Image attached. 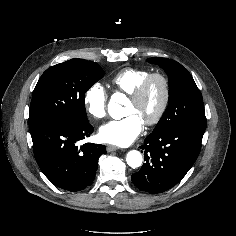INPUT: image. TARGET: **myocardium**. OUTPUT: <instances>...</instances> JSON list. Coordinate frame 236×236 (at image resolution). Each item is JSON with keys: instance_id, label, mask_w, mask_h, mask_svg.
I'll return each instance as SVG.
<instances>
[{"instance_id": "myocardium-1", "label": "myocardium", "mask_w": 236, "mask_h": 236, "mask_svg": "<svg viewBox=\"0 0 236 236\" xmlns=\"http://www.w3.org/2000/svg\"><path fill=\"white\" fill-rule=\"evenodd\" d=\"M158 80L162 85V101L160 104V107L156 114L147 120H144V123L148 126L156 125L160 122V120L163 118L169 102H170V95H171V88H170V82L166 75L162 73H150L141 83L140 85L130 94V99L138 102L140 101L144 95L146 94L150 84L154 81Z\"/></svg>"}]
</instances>
